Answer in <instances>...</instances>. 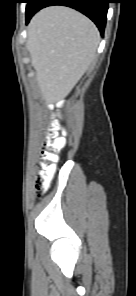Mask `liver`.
Instances as JSON below:
<instances>
[{
	"instance_id": "obj_1",
	"label": "liver",
	"mask_w": 136,
	"mask_h": 296,
	"mask_svg": "<svg viewBox=\"0 0 136 296\" xmlns=\"http://www.w3.org/2000/svg\"><path fill=\"white\" fill-rule=\"evenodd\" d=\"M26 47L42 97L67 96L93 62L99 44L95 24L74 9L46 7L27 28Z\"/></svg>"
}]
</instances>
